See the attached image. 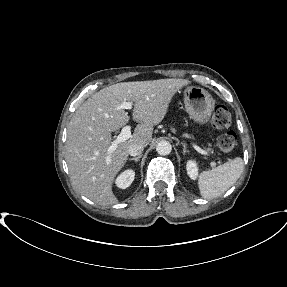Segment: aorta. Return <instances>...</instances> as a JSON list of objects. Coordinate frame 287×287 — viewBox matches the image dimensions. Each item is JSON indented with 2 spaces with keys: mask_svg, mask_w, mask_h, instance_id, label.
I'll return each instance as SVG.
<instances>
[{
  "mask_svg": "<svg viewBox=\"0 0 287 287\" xmlns=\"http://www.w3.org/2000/svg\"><path fill=\"white\" fill-rule=\"evenodd\" d=\"M156 151L159 155L166 156L171 153L172 146L168 141H160L156 145Z\"/></svg>",
  "mask_w": 287,
  "mask_h": 287,
  "instance_id": "1",
  "label": "aorta"
}]
</instances>
